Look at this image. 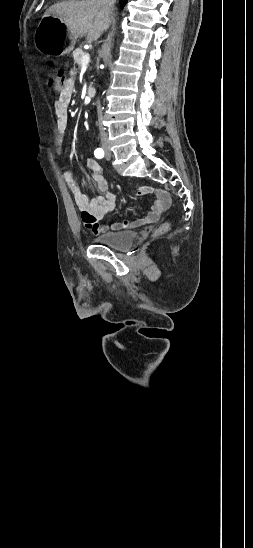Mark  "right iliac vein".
<instances>
[{
    "mask_svg": "<svg viewBox=\"0 0 253 548\" xmlns=\"http://www.w3.org/2000/svg\"><path fill=\"white\" fill-rule=\"evenodd\" d=\"M108 146L107 145H104V148H107Z\"/></svg>",
    "mask_w": 253,
    "mask_h": 548,
    "instance_id": "63e3f726",
    "label": "right iliac vein"
}]
</instances>
